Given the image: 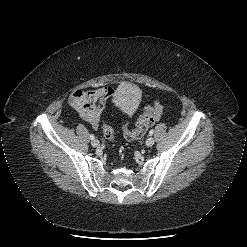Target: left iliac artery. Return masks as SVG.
<instances>
[{
  "instance_id": "1",
  "label": "left iliac artery",
  "mask_w": 247,
  "mask_h": 247,
  "mask_svg": "<svg viewBox=\"0 0 247 247\" xmlns=\"http://www.w3.org/2000/svg\"><path fill=\"white\" fill-rule=\"evenodd\" d=\"M153 133H154V130H153V129H151V130L149 131V135H150V136H152V135H153Z\"/></svg>"
}]
</instances>
